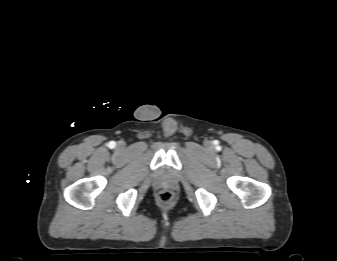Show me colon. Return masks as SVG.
<instances>
[{
    "label": "colon",
    "instance_id": "5ec220e1",
    "mask_svg": "<svg viewBox=\"0 0 337 261\" xmlns=\"http://www.w3.org/2000/svg\"><path fill=\"white\" fill-rule=\"evenodd\" d=\"M174 199V195L171 191L169 190H162L160 193H159V201L162 203V204H170Z\"/></svg>",
    "mask_w": 337,
    "mask_h": 261
}]
</instances>
